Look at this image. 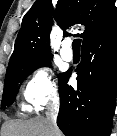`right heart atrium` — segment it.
I'll use <instances>...</instances> for the list:
<instances>
[{"label":"right heart atrium","instance_id":"obj_1","mask_svg":"<svg viewBox=\"0 0 117 136\" xmlns=\"http://www.w3.org/2000/svg\"><path fill=\"white\" fill-rule=\"evenodd\" d=\"M58 95L55 75L46 66H38L31 73L25 86L24 96L26 101L35 108H41Z\"/></svg>","mask_w":117,"mask_h":136}]
</instances>
